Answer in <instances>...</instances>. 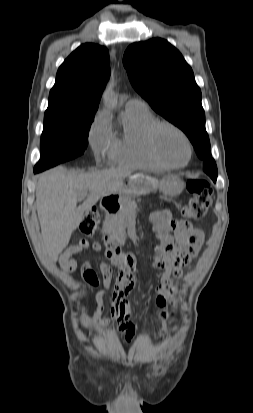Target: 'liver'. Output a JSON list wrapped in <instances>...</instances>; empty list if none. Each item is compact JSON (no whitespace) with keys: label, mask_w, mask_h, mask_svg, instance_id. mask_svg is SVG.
Returning a JSON list of instances; mask_svg holds the SVG:
<instances>
[{"label":"liver","mask_w":253,"mask_h":413,"mask_svg":"<svg viewBox=\"0 0 253 413\" xmlns=\"http://www.w3.org/2000/svg\"><path fill=\"white\" fill-rule=\"evenodd\" d=\"M128 175V172L116 168L77 173L56 167L40 176L36 186V206L43 251L52 262L58 260L68 245L84 212L99 199L117 192ZM87 192L88 198L77 207L78 198Z\"/></svg>","instance_id":"obj_1"}]
</instances>
